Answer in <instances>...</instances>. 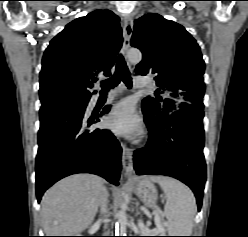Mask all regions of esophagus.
<instances>
[{
  "label": "esophagus",
  "instance_id": "34e87169",
  "mask_svg": "<svg viewBox=\"0 0 248 237\" xmlns=\"http://www.w3.org/2000/svg\"><path fill=\"white\" fill-rule=\"evenodd\" d=\"M123 46L122 54L126 56V53L130 46V39L133 33V20L131 16L127 15L123 18ZM122 166L125 173V176L128 179L133 178V151L126 144H122Z\"/></svg>",
  "mask_w": 248,
  "mask_h": 237
}]
</instances>
